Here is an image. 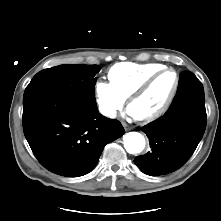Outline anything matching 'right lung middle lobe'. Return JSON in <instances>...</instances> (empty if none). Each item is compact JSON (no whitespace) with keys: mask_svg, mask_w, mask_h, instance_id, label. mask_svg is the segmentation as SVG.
Here are the masks:
<instances>
[{"mask_svg":"<svg viewBox=\"0 0 221 221\" xmlns=\"http://www.w3.org/2000/svg\"><path fill=\"white\" fill-rule=\"evenodd\" d=\"M97 65H61L37 73L25 91L51 89L95 100Z\"/></svg>","mask_w":221,"mask_h":221,"instance_id":"obj_1","label":"right lung middle lobe"}]
</instances>
